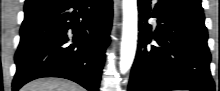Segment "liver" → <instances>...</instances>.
Instances as JSON below:
<instances>
[{"label": "liver", "mask_w": 220, "mask_h": 91, "mask_svg": "<svg viewBox=\"0 0 220 91\" xmlns=\"http://www.w3.org/2000/svg\"><path fill=\"white\" fill-rule=\"evenodd\" d=\"M21 91H84L83 88L69 80L59 78H41L21 88Z\"/></svg>", "instance_id": "6515ba94"}]
</instances>
